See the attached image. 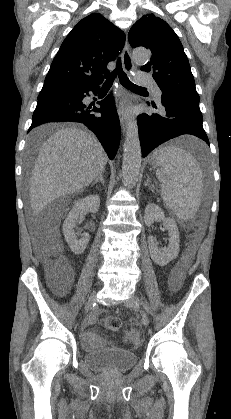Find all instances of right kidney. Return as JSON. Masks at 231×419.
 <instances>
[{"mask_svg":"<svg viewBox=\"0 0 231 419\" xmlns=\"http://www.w3.org/2000/svg\"><path fill=\"white\" fill-rule=\"evenodd\" d=\"M100 198L97 194L89 195L77 200L63 223V233L70 249L77 255L82 254L89 242L88 233H83L81 239H77L74 231L75 223L84 212L96 213L99 210Z\"/></svg>","mask_w":231,"mask_h":419,"instance_id":"obj_1","label":"right kidney"}]
</instances>
